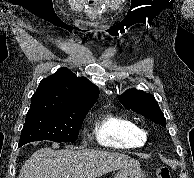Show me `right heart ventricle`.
I'll use <instances>...</instances> for the list:
<instances>
[{"label": "right heart ventricle", "instance_id": "e07e8e85", "mask_svg": "<svg viewBox=\"0 0 194 178\" xmlns=\"http://www.w3.org/2000/svg\"><path fill=\"white\" fill-rule=\"evenodd\" d=\"M97 142L114 149H136L145 144L139 126L130 118L107 113L94 123Z\"/></svg>", "mask_w": 194, "mask_h": 178}]
</instances>
